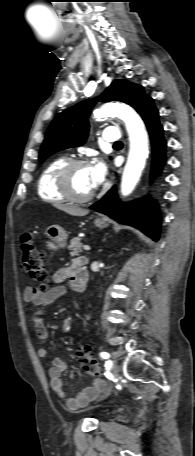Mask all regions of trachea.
<instances>
[{
	"instance_id": "obj_1",
	"label": "trachea",
	"mask_w": 195,
	"mask_h": 456,
	"mask_svg": "<svg viewBox=\"0 0 195 456\" xmlns=\"http://www.w3.org/2000/svg\"><path fill=\"white\" fill-rule=\"evenodd\" d=\"M119 145H122V142L118 141L114 144V146H119Z\"/></svg>"
}]
</instances>
